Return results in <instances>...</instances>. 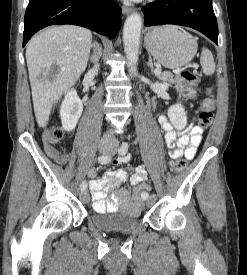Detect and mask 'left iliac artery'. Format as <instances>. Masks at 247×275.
Masks as SVG:
<instances>
[{
    "label": "left iliac artery",
    "mask_w": 247,
    "mask_h": 275,
    "mask_svg": "<svg viewBox=\"0 0 247 275\" xmlns=\"http://www.w3.org/2000/svg\"><path fill=\"white\" fill-rule=\"evenodd\" d=\"M128 148H129L128 143L123 142L122 145H121V148L119 149V154L125 155L128 151ZM141 196L144 200L149 198V194L147 192H143Z\"/></svg>",
    "instance_id": "1"
}]
</instances>
